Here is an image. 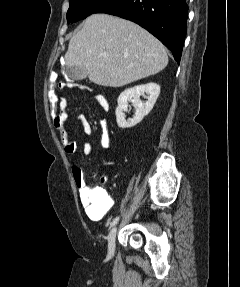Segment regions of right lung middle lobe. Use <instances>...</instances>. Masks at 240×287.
<instances>
[{
	"label": "right lung middle lobe",
	"instance_id": "dd1d6c3e",
	"mask_svg": "<svg viewBox=\"0 0 240 287\" xmlns=\"http://www.w3.org/2000/svg\"><path fill=\"white\" fill-rule=\"evenodd\" d=\"M107 0H69L70 7L67 12V21L76 22L91 15Z\"/></svg>",
	"mask_w": 240,
	"mask_h": 287
}]
</instances>
